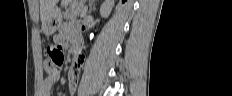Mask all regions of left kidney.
<instances>
[{"label": "left kidney", "mask_w": 232, "mask_h": 96, "mask_svg": "<svg viewBox=\"0 0 232 96\" xmlns=\"http://www.w3.org/2000/svg\"><path fill=\"white\" fill-rule=\"evenodd\" d=\"M114 6V0H105L100 8V14L102 17H108Z\"/></svg>", "instance_id": "1"}]
</instances>
